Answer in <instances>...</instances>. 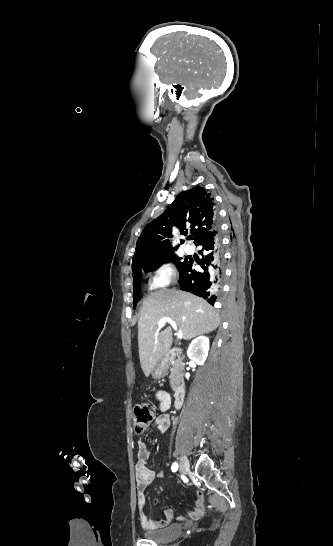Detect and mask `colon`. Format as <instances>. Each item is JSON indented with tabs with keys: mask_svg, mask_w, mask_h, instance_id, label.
Returning a JSON list of instances; mask_svg holds the SVG:
<instances>
[{
	"mask_svg": "<svg viewBox=\"0 0 333 546\" xmlns=\"http://www.w3.org/2000/svg\"><path fill=\"white\" fill-rule=\"evenodd\" d=\"M156 409L148 403L140 402L135 405L133 410L134 431L138 434L143 433L154 420Z\"/></svg>",
	"mask_w": 333,
	"mask_h": 546,
	"instance_id": "1",
	"label": "colon"
}]
</instances>
